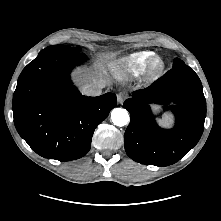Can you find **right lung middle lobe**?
I'll list each match as a JSON object with an SVG mask.
<instances>
[{"mask_svg": "<svg viewBox=\"0 0 221 221\" xmlns=\"http://www.w3.org/2000/svg\"><path fill=\"white\" fill-rule=\"evenodd\" d=\"M42 51H53V52H63V53H79L80 48H71L66 45H53L45 48Z\"/></svg>", "mask_w": 221, "mask_h": 221, "instance_id": "right-lung-middle-lobe-1", "label": "right lung middle lobe"}]
</instances>
